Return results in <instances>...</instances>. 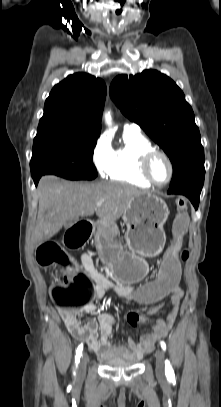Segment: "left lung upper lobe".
I'll return each instance as SVG.
<instances>
[{
    "label": "left lung upper lobe",
    "instance_id": "5c2ea615",
    "mask_svg": "<svg viewBox=\"0 0 221 407\" xmlns=\"http://www.w3.org/2000/svg\"><path fill=\"white\" fill-rule=\"evenodd\" d=\"M110 96L121 112L166 152L173 166L171 184L204 166V149L194 113L176 83L168 76L145 70L119 75Z\"/></svg>",
    "mask_w": 221,
    "mask_h": 407
}]
</instances>
